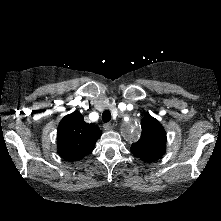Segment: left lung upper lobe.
Masks as SVG:
<instances>
[{
	"label": "left lung upper lobe",
	"mask_w": 221,
	"mask_h": 221,
	"mask_svg": "<svg viewBox=\"0 0 221 221\" xmlns=\"http://www.w3.org/2000/svg\"><path fill=\"white\" fill-rule=\"evenodd\" d=\"M142 135L133 143L131 152L140 159L152 162L161 158L166 151V133L162 125L151 115L146 114L141 121Z\"/></svg>",
	"instance_id": "obj_1"
}]
</instances>
